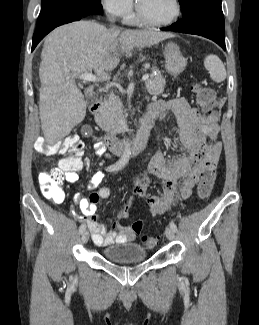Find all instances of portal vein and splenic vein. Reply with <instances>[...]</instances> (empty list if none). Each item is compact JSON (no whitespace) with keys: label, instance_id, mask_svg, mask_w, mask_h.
Instances as JSON below:
<instances>
[{"label":"portal vein and splenic vein","instance_id":"1","mask_svg":"<svg viewBox=\"0 0 259 325\" xmlns=\"http://www.w3.org/2000/svg\"><path fill=\"white\" fill-rule=\"evenodd\" d=\"M78 78L83 81H90V82L98 81V78L91 73H83V74L79 75ZM148 78H149V74H145V75H143L142 80L146 81V80H148Z\"/></svg>","mask_w":259,"mask_h":325}]
</instances>
